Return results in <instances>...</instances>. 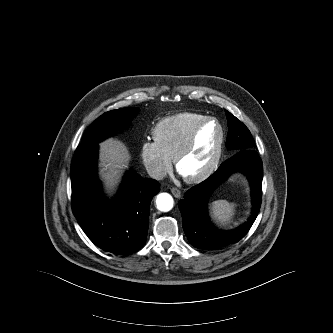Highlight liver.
Returning <instances> with one entry per match:
<instances>
[{
  "mask_svg": "<svg viewBox=\"0 0 333 333\" xmlns=\"http://www.w3.org/2000/svg\"><path fill=\"white\" fill-rule=\"evenodd\" d=\"M129 159L128 151L121 141L109 138L100 144L101 172L108 187L118 182Z\"/></svg>",
  "mask_w": 333,
  "mask_h": 333,
  "instance_id": "obj_1",
  "label": "liver"
}]
</instances>
